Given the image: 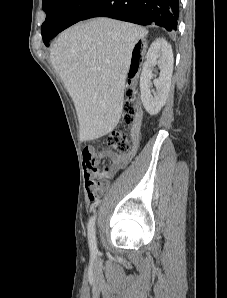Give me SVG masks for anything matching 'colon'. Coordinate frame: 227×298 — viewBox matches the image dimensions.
<instances>
[{
	"mask_svg": "<svg viewBox=\"0 0 227 298\" xmlns=\"http://www.w3.org/2000/svg\"><path fill=\"white\" fill-rule=\"evenodd\" d=\"M134 74V70L131 71ZM136 98V91L132 88L127 90V100L124 105V122L130 125L136 120L137 106L134 102ZM107 151L115 154H124L129 150V141L125 131L121 129L113 130L104 140ZM85 150V149H84ZM90 200H96L99 196V190L94 183V187L88 191Z\"/></svg>",
	"mask_w": 227,
	"mask_h": 298,
	"instance_id": "colon-1",
	"label": "colon"
}]
</instances>
